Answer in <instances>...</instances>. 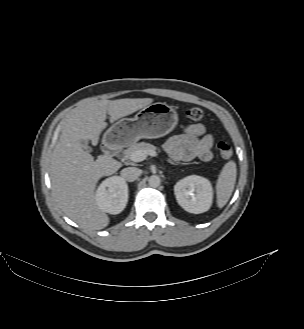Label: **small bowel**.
<instances>
[{"label":"small bowel","instance_id":"small-bowel-1","mask_svg":"<svg viewBox=\"0 0 304 329\" xmlns=\"http://www.w3.org/2000/svg\"><path fill=\"white\" fill-rule=\"evenodd\" d=\"M213 136L206 133L203 124L187 126L180 134L170 138L166 151L175 162H189L196 158L209 162L213 159Z\"/></svg>","mask_w":304,"mask_h":329}]
</instances>
